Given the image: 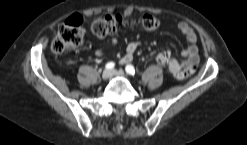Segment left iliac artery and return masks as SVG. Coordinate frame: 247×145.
Returning <instances> with one entry per match:
<instances>
[{"label":"left iliac artery","instance_id":"obj_1","mask_svg":"<svg viewBox=\"0 0 247 145\" xmlns=\"http://www.w3.org/2000/svg\"><path fill=\"white\" fill-rule=\"evenodd\" d=\"M125 70L130 75H134L135 74V69H134L133 65H127Z\"/></svg>","mask_w":247,"mask_h":145}]
</instances>
